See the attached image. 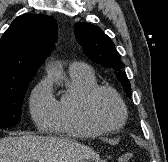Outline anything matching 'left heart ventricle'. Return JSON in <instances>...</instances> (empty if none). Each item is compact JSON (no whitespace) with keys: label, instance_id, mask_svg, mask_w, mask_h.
<instances>
[{"label":"left heart ventricle","instance_id":"left-heart-ventricle-1","mask_svg":"<svg viewBox=\"0 0 168 162\" xmlns=\"http://www.w3.org/2000/svg\"><path fill=\"white\" fill-rule=\"evenodd\" d=\"M93 113L106 126L117 125L121 120V109L117 100L107 92H100L93 100Z\"/></svg>","mask_w":168,"mask_h":162}]
</instances>
